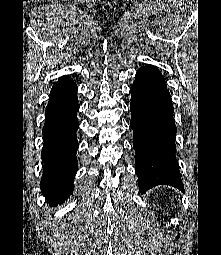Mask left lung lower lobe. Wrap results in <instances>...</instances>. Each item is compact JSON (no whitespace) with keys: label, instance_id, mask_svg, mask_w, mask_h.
<instances>
[{"label":"left lung lower lobe","instance_id":"0a47b994","mask_svg":"<svg viewBox=\"0 0 221 255\" xmlns=\"http://www.w3.org/2000/svg\"><path fill=\"white\" fill-rule=\"evenodd\" d=\"M135 172L141 193L156 185L184 191L175 157L176 126L164 76L152 65L140 68L130 88Z\"/></svg>","mask_w":221,"mask_h":255}]
</instances>
